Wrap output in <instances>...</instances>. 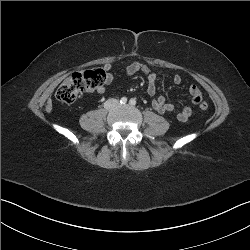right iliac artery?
Instances as JSON below:
<instances>
[{
    "label": "right iliac artery",
    "mask_w": 250,
    "mask_h": 250,
    "mask_svg": "<svg viewBox=\"0 0 250 250\" xmlns=\"http://www.w3.org/2000/svg\"><path fill=\"white\" fill-rule=\"evenodd\" d=\"M121 104H126L127 103V98L126 97H122L120 100Z\"/></svg>",
    "instance_id": "82829eb1"
}]
</instances>
